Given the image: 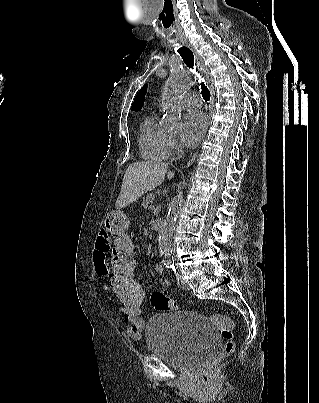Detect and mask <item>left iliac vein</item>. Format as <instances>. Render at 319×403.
<instances>
[{"label":"left iliac vein","instance_id":"4c4485c4","mask_svg":"<svg viewBox=\"0 0 319 403\" xmlns=\"http://www.w3.org/2000/svg\"><path fill=\"white\" fill-rule=\"evenodd\" d=\"M176 280L180 288H182L183 290H189L187 282L183 279V277L179 273H177L176 275Z\"/></svg>","mask_w":319,"mask_h":403}]
</instances>
